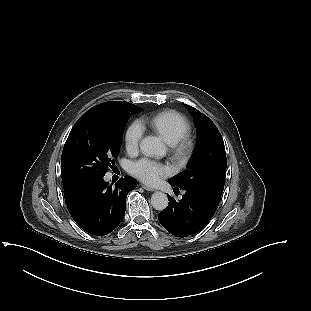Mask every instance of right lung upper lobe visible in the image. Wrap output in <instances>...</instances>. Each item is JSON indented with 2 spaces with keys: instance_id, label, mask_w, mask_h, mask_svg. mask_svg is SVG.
Returning <instances> with one entry per match:
<instances>
[{
  "instance_id": "right-lung-upper-lobe-1",
  "label": "right lung upper lobe",
  "mask_w": 311,
  "mask_h": 311,
  "mask_svg": "<svg viewBox=\"0 0 311 311\" xmlns=\"http://www.w3.org/2000/svg\"><path fill=\"white\" fill-rule=\"evenodd\" d=\"M109 102L118 103V104L125 105V106H128L130 108H134V109H139L140 108V107H138V106H136L134 104H131V103H128V102H124V101H109ZM106 103H108V102H106Z\"/></svg>"
}]
</instances>
